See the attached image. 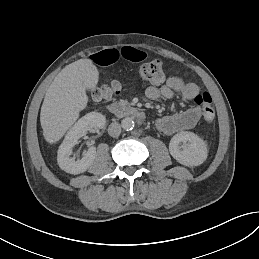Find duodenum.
<instances>
[{
	"label": "duodenum",
	"mask_w": 259,
	"mask_h": 259,
	"mask_svg": "<svg viewBox=\"0 0 259 259\" xmlns=\"http://www.w3.org/2000/svg\"><path fill=\"white\" fill-rule=\"evenodd\" d=\"M108 111L119 118L131 117L139 121H143L145 119V114L138 108L133 106L120 103L113 102L107 106Z\"/></svg>",
	"instance_id": "obj_1"
}]
</instances>
